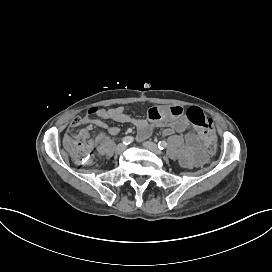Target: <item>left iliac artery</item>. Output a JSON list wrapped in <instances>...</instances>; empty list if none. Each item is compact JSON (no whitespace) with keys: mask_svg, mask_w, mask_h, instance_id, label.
<instances>
[{"mask_svg":"<svg viewBox=\"0 0 272 272\" xmlns=\"http://www.w3.org/2000/svg\"><path fill=\"white\" fill-rule=\"evenodd\" d=\"M167 146H168V144H167L166 141H160V142L158 143V148L161 149V150L167 148Z\"/></svg>","mask_w":272,"mask_h":272,"instance_id":"left-iliac-artery-1","label":"left iliac artery"}]
</instances>
